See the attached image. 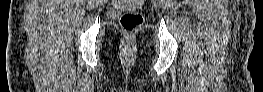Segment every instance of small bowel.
Instances as JSON below:
<instances>
[{
  "instance_id": "c3829d8e",
  "label": "small bowel",
  "mask_w": 263,
  "mask_h": 92,
  "mask_svg": "<svg viewBox=\"0 0 263 92\" xmlns=\"http://www.w3.org/2000/svg\"><path fill=\"white\" fill-rule=\"evenodd\" d=\"M123 2H125V1H123ZM129 3H131V4H133V5H136V6H140V5L143 4V3H139V2H137V1H130Z\"/></svg>"
}]
</instances>
